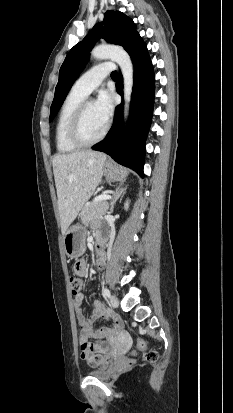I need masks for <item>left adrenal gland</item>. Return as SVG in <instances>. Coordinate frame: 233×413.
Wrapping results in <instances>:
<instances>
[{"label": "left adrenal gland", "mask_w": 233, "mask_h": 413, "mask_svg": "<svg viewBox=\"0 0 233 413\" xmlns=\"http://www.w3.org/2000/svg\"><path fill=\"white\" fill-rule=\"evenodd\" d=\"M123 183H121L114 191V194L112 195V199L110 202V212L112 213L114 210V205L116 201L126 192V187L123 188Z\"/></svg>", "instance_id": "1"}]
</instances>
